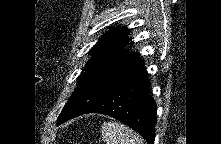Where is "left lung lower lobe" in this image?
Returning a JSON list of instances; mask_svg holds the SVG:
<instances>
[{
    "instance_id": "0a47b994",
    "label": "left lung lower lobe",
    "mask_w": 221,
    "mask_h": 144,
    "mask_svg": "<svg viewBox=\"0 0 221 144\" xmlns=\"http://www.w3.org/2000/svg\"><path fill=\"white\" fill-rule=\"evenodd\" d=\"M86 113H101L137 131L154 144L156 103L150 98V81L144 60L138 58Z\"/></svg>"
}]
</instances>
